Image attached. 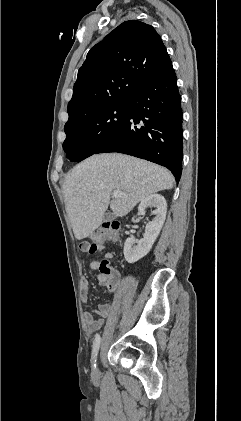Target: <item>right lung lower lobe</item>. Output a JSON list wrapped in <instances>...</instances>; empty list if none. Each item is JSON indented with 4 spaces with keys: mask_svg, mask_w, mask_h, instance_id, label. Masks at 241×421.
Segmentation results:
<instances>
[{
    "mask_svg": "<svg viewBox=\"0 0 241 421\" xmlns=\"http://www.w3.org/2000/svg\"><path fill=\"white\" fill-rule=\"evenodd\" d=\"M123 127L97 153L120 152L168 168L180 180L183 159L181 96L170 58L129 98Z\"/></svg>",
    "mask_w": 241,
    "mask_h": 421,
    "instance_id": "1",
    "label": "right lung lower lobe"
}]
</instances>
